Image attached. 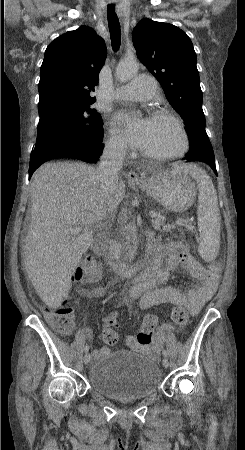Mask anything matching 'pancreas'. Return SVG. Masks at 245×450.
Masks as SVG:
<instances>
[{"instance_id":"obj_1","label":"pancreas","mask_w":245,"mask_h":450,"mask_svg":"<svg viewBox=\"0 0 245 450\" xmlns=\"http://www.w3.org/2000/svg\"><path fill=\"white\" fill-rule=\"evenodd\" d=\"M152 226L155 230L160 232H170L171 229L176 228V224H187L188 219H179L176 224H165V217L162 215H157L152 221ZM136 233L134 228L127 227L122 231V238L120 239L117 248L116 256L119 258L122 253L125 254L124 259H131L136 253Z\"/></svg>"}]
</instances>
